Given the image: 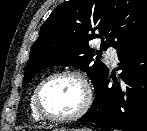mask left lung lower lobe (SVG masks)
Returning a JSON list of instances; mask_svg holds the SVG:
<instances>
[{"mask_svg":"<svg viewBox=\"0 0 147 131\" xmlns=\"http://www.w3.org/2000/svg\"><path fill=\"white\" fill-rule=\"evenodd\" d=\"M120 81L108 88L107 77L89 111L79 121L122 131H147V30L118 51Z\"/></svg>","mask_w":147,"mask_h":131,"instance_id":"0a47b994","label":"left lung lower lobe"}]
</instances>
